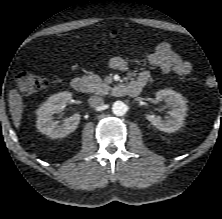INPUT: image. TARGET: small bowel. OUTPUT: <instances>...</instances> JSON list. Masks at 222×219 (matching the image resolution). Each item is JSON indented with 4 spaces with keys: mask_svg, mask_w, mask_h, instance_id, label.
<instances>
[{
    "mask_svg": "<svg viewBox=\"0 0 222 219\" xmlns=\"http://www.w3.org/2000/svg\"><path fill=\"white\" fill-rule=\"evenodd\" d=\"M144 57L150 65L157 67L164 74L188 75L192 71V64L176 53L168 42L159 43L153 51L145 53ZM109 65L120 72H126L129 68L127 61L119 56L111 57ZM148 78V73L142 72L136 82L143 85Z\"/></svg>",
    "mask_w": 222,
    "mask_h": 219,
    "instance_id": "c3829d8e",
    "label": "small bowel"
}]
</instances>
